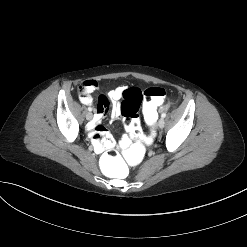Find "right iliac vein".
Here are the masks:
<instances>
[{"instance_id":"1","label":"right iliac vein","mask_w":247,"mask_h":247,"mask_svg":"<svg viewBox=\"0 0 247 247\" xmlns=\"http://www.w3.org/2000/svg\"><path fill=\"white\" fill-rule=\"evenodd\" d=\"M93 118V114L91 113V112H88L87 114H86V119L87 120H91Z\"/></svg>"}]
</instances>
